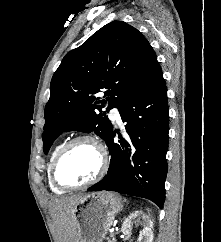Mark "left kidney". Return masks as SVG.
<instances>
[{
    "label": "left kidney",
    "mask_w": 221,
    "mask_h": 242,
    "mask_svg": "<svg viewBox=\"0 0 221 242\" xmlns=\"http://www.w3.org/2000/svg\"><path fill=\"white\" fill-rule=\"evenodd\" d=\"M140 219L143 220V230L140 231L138 242H152L153 241V223L149 219L147 215H145L142 211H135L131 213L123 222L121 231L124 234H130L131 233V224L140 221Z\"/></svg>",
    "instance_id": "5707ae66"
}]
</instances>
